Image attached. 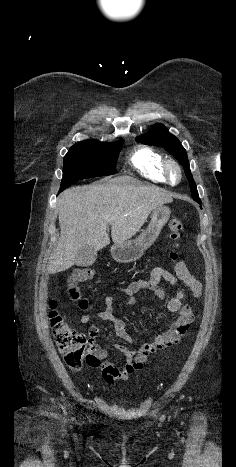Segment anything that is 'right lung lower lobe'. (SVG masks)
<instances>
[{
	"label": "right lung lower lobe",
	"instance_id": "98d812e1",
	"mask_svg": "<svg viewBox=\"0 0 236 467\" xmlns=\"http://www.w3.org/2000/svg\"><path fill=\"white\" fill-rule=\"evenodd\" d=\"M63 190H64V189H61V188H60V191H59V192H61V191H63Z\"/></svg>",
	"mask_w": 236,
	"mask_h": 467
}]
</instances>
